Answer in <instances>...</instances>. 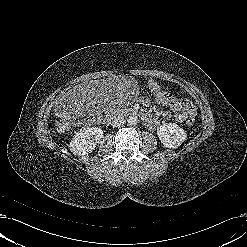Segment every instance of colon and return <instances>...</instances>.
<instances>
[{
	"instance_id": "colon-1",
	"label": "colon",
	"mask_w": 247,
	"mask_h": 247,
	"mask_svg": "<svg viewBox=\"0 0 247 247\" xmlns=\"http://www.w3.org/2000/svg\"><path fill=\"white\" fill-rule=\"evenodd\" d=\"M171 100V95L169 93H158L153 96V101L155 103L160 102H169ZM196 120L195 116H190L187 120V125L189 127L194 126ZM56 128L59 132H65L70 128V120L69 119H60L57 124Z\"/></svg>"
}]
</instances>
